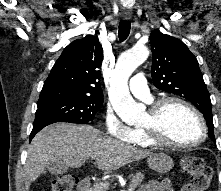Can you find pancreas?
I'll return each instance as SVG.
<instances>
[{"mask_svg": "<svg viewBox=\"0 0 221 191\" xmlns=\"http://www.w3.org/2000/svg\"><path fill=\"white\" fill-rule=\"evenodd\" d=\"M129 178H130L129 187L131 189H135L137 186L141 185L144 179V175L141 173H136V174L130 175ZM91 191H107V187L103 186L102 183H97L93 185V188Z\"/></svg>", "mask_w": 221, "mask_h": 191, "instance_id": "obj_1", "label": "pancreas"}]
</instances>
